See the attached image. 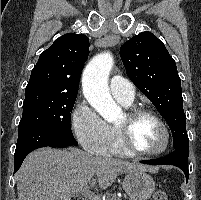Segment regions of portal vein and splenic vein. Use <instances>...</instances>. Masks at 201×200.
I'll list each match as a JSON object with an SVG mask.
<instances>
[{
    "label": "portal vein and splenic vein",
    "mask_w": 201,
    "mask_h": 200,
    "mask_svg": "<svg viewBox=\"0 0 201 200\" xmlns=\"http://www.w3.org/2000/svg\"><path fill=\"white\" fill-rule=\"evenodd\" d=\"M80 194L89 200H100L98 196L89 191V188L84 189Z\"/></svg>",
    "instance_id": "18ae733b"
}]
</instances>
